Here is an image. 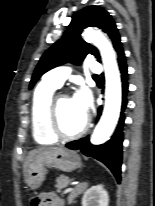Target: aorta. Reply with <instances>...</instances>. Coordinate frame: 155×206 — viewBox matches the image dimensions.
Wrapping results in <instances>:
<instances>
[{"instance_id":"obj_1","label":"aorta","mask_w":155,"mask_h":206,"mask_svg":"<svg viewBox=\"0 0 155 206\" xmlns=\"http://www.w3.org/2000/svg\"><path fill=\"white\" fill-rule=\"evenodd\" d=\"M83 37L87 42L93 43L100 50L105 69V107L102 117L91 137V143L99 145L109 140L119 119L121 110L120 74L113 47L104 35L99 31L87 29Z\"/></svg>"}]
</instances>
